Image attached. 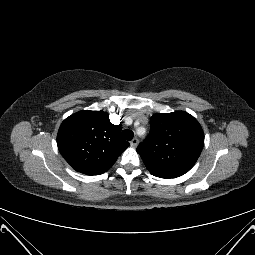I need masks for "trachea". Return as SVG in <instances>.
Wrapping results in <instances>:
<instances>
[{
	"mask_svg": "<svg viewBox=\"0 0 255 255\" xmlns=\"http://www.w3.org/2000/svg\"><path fill=\"white\" fill-rule=\"evenodd\" d=\"M133 136H134V133L131 130L126 129L122 131V137L125 140L130 141L133 139Z\"/></svg>",
	"mask_w": 255,
	"mask_h": 255,
	"instance_id": "1",
	"label": "trachea"
}]
</instances>
